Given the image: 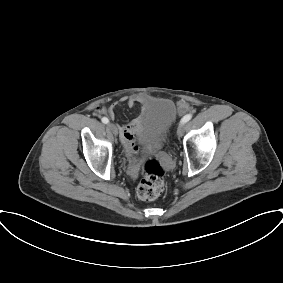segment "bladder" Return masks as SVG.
I'll use <instances>...</instances> for the list:
<instances>
[{
	"instance_id": "1",
	"label": "bladder",
	"mask_w": 283,
	"mask_h": 283,
	"mask_svg": "<svg viewBox=\"0 0 283 283\" xmlns=\"http://www.w3.org/2000/svg\"><path fill=\"white\" fill-rule=\"evenodd\" d=\"M176 120V108L169 99L156 102L149 108L142 123L143 130L149 135V139L163 143Z\"/></svg>"
}]
</instances>
